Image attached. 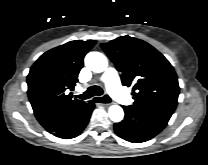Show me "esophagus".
I'll use <instances>...</instances> for the list:
<instances>
[{"mask_svg": "<svg viewBox=\"0 0 208 165\" xmlns=\"http://www.w3.org/2000/svg\"><path fill=\"white\" fill-rule=\"evenodd\" d=\"M98 101H104L103 97H94V102L100 103L101 105H110L111 102L109 101H105V102H98Z\"/></svg>", "mask_w": 208, "mask_h": 165, "instance_id": "esophagus-1", "label": "esophagus"}]
</instances>
